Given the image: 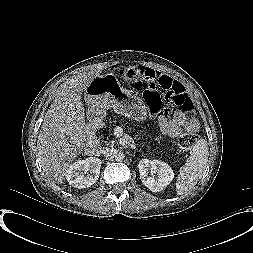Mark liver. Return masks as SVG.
Wrapping results in <instances>:
<instances>
[{
	"instance_id": "obj_1",
	"label": "liver",
	"mask_w": 253,
	"mask_h": 253,
	"mask_svg": "<svg viewBox=\"0 0 253 253\" xmlns=\"http://www.w3.org/2000/svg\"><path fill=\"white\" fill-rule=\"evenodd\" d=\"M99 75L100 71H92L63 83L45 114L37 142L39 160L45 173L58 183L63 182L89 134L81 94Z\"/></svg>"
}]
</instances>
